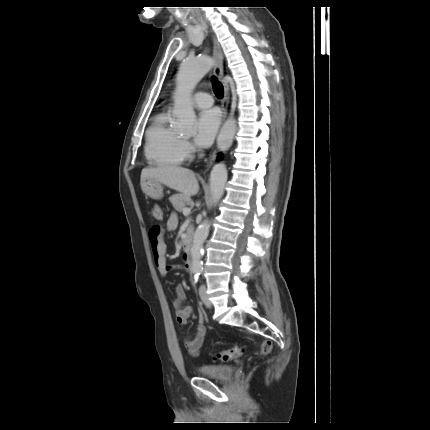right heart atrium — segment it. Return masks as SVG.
Segmentation results:
<instances>
[{
    "label": "right heart atrium",
    "instance_id": "right-heart-atrium-1",
    "mask_svg": "<svg viewBox=\"0 0 430 430\" xmlns=\"http://www.w3.org/2000/svg\"><path fill=\"white\" fill-rule=\"evenodd\" d=\"M182 149L187 156L191 155L194 152V147L187 140H182Z\"/></svg>",
    "mask_w": 430,
    "mask_h": 430
}]
</instances>
